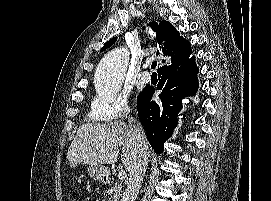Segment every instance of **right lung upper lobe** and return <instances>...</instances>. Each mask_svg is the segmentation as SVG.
Instances as JSON below:
<instances>
[{"label": "right lung upper lobe", "instance_id": "right-lung-upper-lobe-1", "mask_svg": "<svg viewBox=\"0 0 271 201\" xmlns=\"http://www.w3.org/2000/svg\"><path fill=\"white\" fill-rule=\"evenodd\" d=\"M150 26L156 32V39L159 48L163 52V56L167 58V60H162V62L169 63L181 57L187 41L184 40L183 37H180L179 32L173 27V25L170 22L163 20L159 24L157 22H151ZM116 40V37L109 40L105 43L101 51L110 47L116 42Z\"/></svg>", "mask_w": 271, "mask_h": 201}]
</instances>
